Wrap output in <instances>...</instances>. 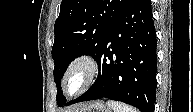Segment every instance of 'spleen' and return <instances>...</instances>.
<instances>
[{
	"instance_id": "obj_1",
	"label": "spleen",
	"mask_w": 193,
	"mask_h": 112,
	"mask_svg": "<svg viewBox=\"0 0 193 112\" xmlns=\"http://www.w3.org/2000/svg\"><path fill=\"white\" fill-rule=\"evenodd\" d=\"M107 105L111 107L114 112H138V110L135 109L134 107H131L129 105L117 101L108 100Z\"/></svg>"
}]
</instances>
